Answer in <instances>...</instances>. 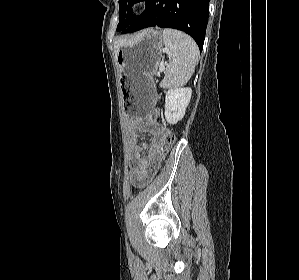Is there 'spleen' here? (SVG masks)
Instances as JSON below:
<instances>
[{"label":"spleen","instance_id":"3e777b00","mask_svg":"<svg viewBox=\"0 0 299 280\" xmlns=\"http://www.w3.org/2000/svg\"><path fill=\"white\" fill-rule=\"evenodd\" d=\"M162 36L172 60L166 67L165 77L160 87L178 88L185 85L194 73L199 49L195 41L181 31L164 29Z\"/></svg>","mask_w":299,"mask_h":280}]
</instances>
